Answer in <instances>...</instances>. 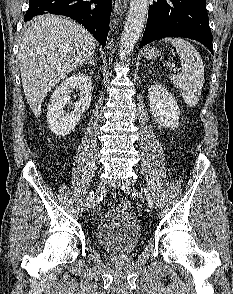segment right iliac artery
Returning a JSON list of instances; mask_svg holds the SVG:
<instances>
[{
	"mask_svg": "<svg viewBox=\"0 0 233 294\" xmlns=\"http://www.w3.org/2000/svg\"><path fill=\"white\" fill-rule=\"evenodd\" d=\"M94 192H90V194L88 195L87 197V202H86V208L89 209L91 208V205H92V202H93V199H94Z\"/></svg>",
	"mask_w": 233,
	"mask_h": 294,
	"instance_id": "right-iliac-artery-1",
	"label": "right iliac artery"
}]
</instances>
